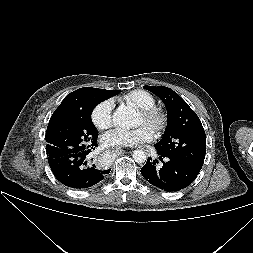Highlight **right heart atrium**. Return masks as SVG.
<instances>
[{"label": "right heart atrium", "instance_id": "obj_1", "mask_svg": "<svg viewBox=\"0 0 253 253\" xmlns=\"http://www.w3.org/2000/svg\"><path fill=\"white\" fill-rule=\"evenodd\" d=\"M114 101L105 99L99 102L93 109L91 118L96 128L104 130L112 125Z\"/></svg>", "mask_w": 253, "mask_h": 253}]
</instances>
